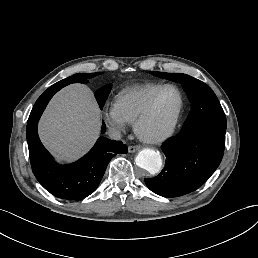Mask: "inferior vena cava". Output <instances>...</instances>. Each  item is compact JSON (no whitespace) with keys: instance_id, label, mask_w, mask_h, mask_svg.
Listing matches in <instances>:
<instances>
[{"instance_id":"obj_1","label":"inferior vena cava","mask_w":258,"mask_h":258,"mask_svg":"<svg viewBox=\"0 0 258 258\" xmlns=\"http://www.w3.org/2000/svg\"><path fill=\"white\" fill-rule=\"evenodd\" d=\"M108 135L111 139L120 140L121 139V132L116 128H109Z\"/></svg>"}]
</instances>
